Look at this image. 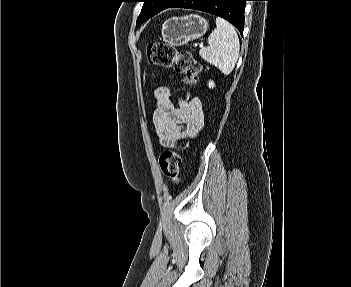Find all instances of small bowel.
I'll list each match as a JSON object with an SVG mask.
<instances>
[{
  "label": "small bowel",
  "mask_w": 351,
  "mask_h": 287,
  "mask_svg": "<svg viewBox=\"0 0 351 287\" xmlns=\"http://www.w3.org/2000/svg\"><path fill=\"white\" fill-rule=\"evenodd\" d=\"M154 99L157 107L153 123L163 146L171 147L181 137L194 135L203 128L205 115L199 98L181 101L176 107L171 101L170 90L159 87L154 91Z\"/></svg>",
  "instance_id": "c3829d8e"
}]
</instances>
